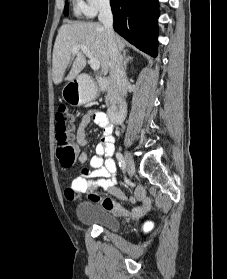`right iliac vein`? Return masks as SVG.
Returning <instances> with one entry per match:
<instances>
[{"instance_id":"1","label":"right iliac vein","mask_w":227,"mask_h":279,"mask_svg":"<svg viewBox=\"0 0 227 279\" xmlns=\"http://www.w3.org/2000/svg\"><path fill=\"white\" fill-rule=\"evenodd\" d=\"M124 156H125V164H126L127 170L129 172V174L132 175L135 172L134 160L128 152H125Z\"/></svg>"}]
</instances>
